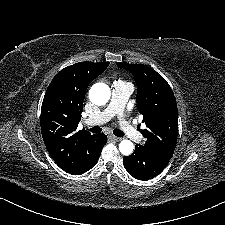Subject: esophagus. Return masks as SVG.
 <instances>
[{"label": "esophagus", "instance_id": "esophagus-1", "mask_svg": "<svg viewBox=\"0 0 225 225\" xmlns=\"http://www.w3.org/2000/svg\"><path fill=\"white\" fill-rule=\"evenodd\" d=\"M109 138H110L111 140H113V141H116V142H118V141H121V140H122V138H120V137H116V136H114V135H110V136H109Z\"/></svg>", "mask_w": 225, "mask_h": 225}]
</instances>
